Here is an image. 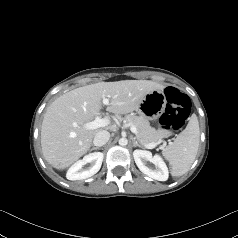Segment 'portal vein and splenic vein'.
Masks as SVG:
<instances>
[{
    "instance_id": "1",
    "label": "portal vein and splenic vein",
    "mask_w": 238,
    "mask_h": 238,
    "mask_svg": "<svg viewBox=\"0 0 238 238\" xmlns=\"http://www.w3.org/2000/svg\"><path fill=\"white\" fill-rule=\"evenodd\" d=\"M102 102H103L104 105H109L110 101H109L108 98H104ZM107 125H109V120L107 118H101L100 116H97L93 121L86 123L85 127H86V129L91 130V129H97V128H100V127H105ZM130 130H131L132 133L137 134V129H136L135 126H131ZM159 143H160V141L157 142V143H149V144H147L145 146L148 149H153Z\"/></svg>"
}]
</instances>
